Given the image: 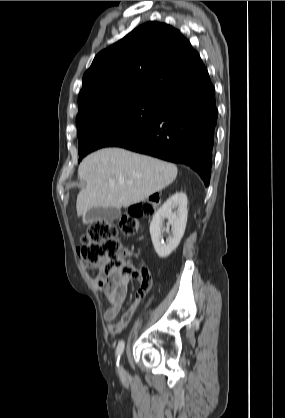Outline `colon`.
<instances>
[{
    "label": "colon",
    "mask_w": 285,
    "mask_h": 418,
    "mask_svg": "<svg viewBox=\"0 0 285 418\" xmlns=\"http://www.w3.org/2000/svg\"><path fill=\"white\" fill-rule=\"evenodd\" d=\"M155 212L154 201H142L130 207L128 214L120 219V230L126 236H133L139 230V218L150 217ZM117 228L107 222L90 224L81 239L79 256L81 260L90 265H98L105 258H112L103 268L102 274L96 279L100 288L106 287V280L118 272L123 277H137V271L133 261L121 259L118 256L121 244L117 239ZM142 291L138 300L144 296Z\"/></svg>",
    "instance_id": "1"
}]
</instances>
